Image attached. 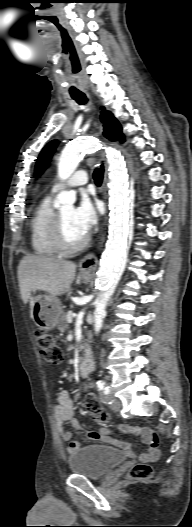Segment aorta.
I'll use <instances>...</instances> for the list:
<instances>
[{"instance_id": "obj_1", "label": "aorta", "mask_w": 192, "mask_h": 527, "mask_svg": "<svg viewBox=\"0 0 192 527\" xmlns=\"http://www.w3.org/2000/svg\"><path fill=\"white\" fill-rule=\"evenodd\" d=\"M99 143L95 138L85 137L69 143L63 149L58 162V176L61 180L69 178L76 170L83 155L97 150ZM110 158V227L109 237L100 260L97 288L100 292L96 307L95 331L99 332L105 307L116 288L127 261L128 240L133 233L130 223L129 205L131 186L126 162L120 152L114 149L108 152ZM75 196L70 192H61L56 201L60 204L72 205Z\"/></svg>"}]
</instances>
